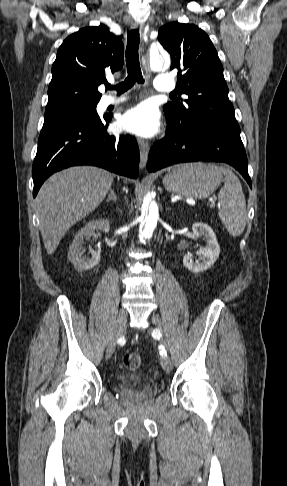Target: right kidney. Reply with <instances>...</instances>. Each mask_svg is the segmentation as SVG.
Returning a JSON list of instances; mask_svg holds the SVG:
<instances>
[{
  "mask_svg": "<svg viewBox=\"0 0 287 486\" xmlns=\"http://www.w3.org/2000/svg\"><path fill=\"white\" fill-rule=\"evenodd\" d=\"M95 230L109 232L110 226L107 219L94 220L86 224L75 235L74 240L69 248L68 259L78 271H87L96 266L101 258V251H91V258L82 257L81 249L84 238L91 237Z\"/></svg>",
  "mask_w": 287,
  "mask_h": 486,
  "instance_id": "right-kidney-1",
  "label": "right kidney"
}]
</instances>
